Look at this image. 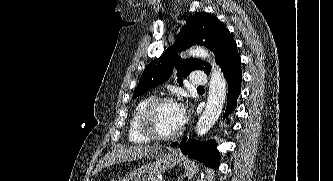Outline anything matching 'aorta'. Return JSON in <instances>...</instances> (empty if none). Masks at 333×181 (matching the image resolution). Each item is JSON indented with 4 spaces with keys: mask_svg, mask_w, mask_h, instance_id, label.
Here are the masks:
<instances>
[{
    "mask_svg": "<svg viewBox=\"0 0 333 181\" xmlns=\"http://www.w3.org/2000/svg\"><path fill=\"white\" fill-rule=\"evenodd\" d=\"M188 55L206 59L212 63L206 107L196 125V133L201 136L212 128L222 112L226 99V80L207 49L197 46L189 49Z\"/></svg>",
    "mask_w": 333,
    "mask_h": 181,
    "instance_id": "762f6f07",
    "label": "aorta"
}]
</instances>
